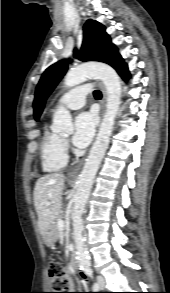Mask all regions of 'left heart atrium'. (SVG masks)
Listing matches in <instances>:
<instances>
[{"label":"left heart atrium","mask_w":170,"mask_h":293,"mask_svg":"<svg viewBox=\"0 0 170 293\" xmlns=\"http://www.w3.org/2000/svg\"><path fill=\"white\" fill-rule=\"evenodd\" d=\"M96 127V118L92 113H81L74 120L72 143L79 148L86 147L92 140Z\"/></svg>","instance_id":"39dd6f15"}]
</instances>
